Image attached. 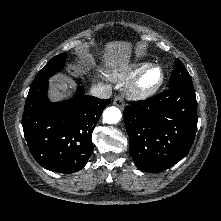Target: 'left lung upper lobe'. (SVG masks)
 Masks as SVG:
<instances>
[{
    "label": "left lung upper lobe",
    "instance_id": "obj_1",
    "mask_svg": "<svg viewBox=\"0 0 221 221\" xmlns=\"http://www.w3.org/2000/svg\"><path fill=\"white\" fill-rule=\"evenodd\" d=\"M183 79L191 80L192 78L189 75L186 68L184 67V65L182 64V62L179 59H177L174 64L173 73L171 74L170 79H169V86Z\"/></svg>",
    "mask_w": 221,
    "mask_h": 221
}]
</instances>
